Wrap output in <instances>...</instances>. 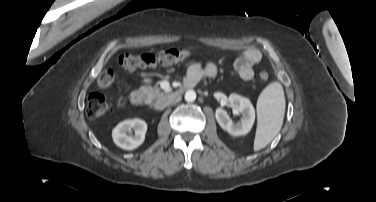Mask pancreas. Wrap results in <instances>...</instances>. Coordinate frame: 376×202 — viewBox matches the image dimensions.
<instances>
[{"label":"pancreas","mask_w":376,"mask_h":202,"mask_svg":"<svg viewBox=\"0 0 376 202\" xmlns=\"http://www.w3.org/2000/svg\"><path fill=\"white\" fill-rule=\"evenodd\" d=\"M142 90L147 94L148 101H153L155 99H162L165 94L157 87H143Z\"/></svg>","instance_id":"1"}]
</instances>
